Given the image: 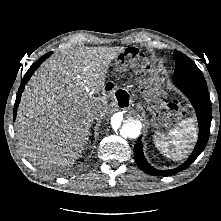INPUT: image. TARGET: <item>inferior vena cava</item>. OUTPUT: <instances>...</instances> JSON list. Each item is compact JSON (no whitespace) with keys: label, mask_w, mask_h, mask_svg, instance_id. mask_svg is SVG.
<instances>
[{"label":"inferior vena cava","mask_w":221,"mask_h":221,"mask_svg":"<svg viewBox=\"0 0 221 221\" xmlns=\"http://www.w3.org/2000/svg\"><path fill=\"white\" fill-rule=\"evenodd\" d=\"M92 117H93L94 120L99 121V120L102 119L103 114H102L101 111L96 110V111L93 112Z\"/></svg>","instance_id":"obj_1"}]
</instances>
